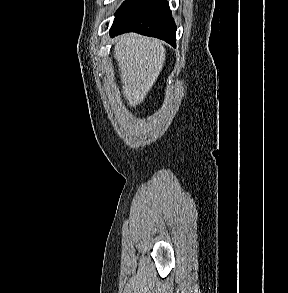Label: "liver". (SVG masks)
I'll use <instances>...</instances> for the list:
<instances>
[{
	"label": "liver",
	"mask_w": 288,
	"mask_h": 293,
	"mask_svg": "<svg viewBox=\"0 0 288 293\" xmlns=\"http://www.w3.org/2000/svg\"><path fill=\"white\" fill-rule=\"evenodd\" d=\"M165 53L164 43L155 38L134 33L116 38L114 57L128 105L136 108L144 101L163 69Z\"/></svg>",
	"instance_id": "liver-1"
}]
</instances>
